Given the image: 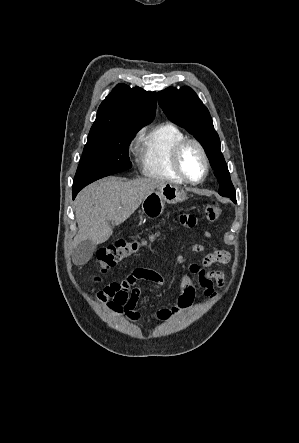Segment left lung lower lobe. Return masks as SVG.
I'll return each instance as SVG.
<instances>
[{
  "label": "left lung lower lobe",
  "mask_w": 299,
  "mask_h": 443,
  "mask_svg": "<svg viewBox=\"0 0 299 443\" xmlns=\"http://www.w3.org/2000/svg\"><path fill=\"white\" fill-rule=\"evenodd\" d=\"M233 201H234V202H236V198H235V199H233Z\"/></svg>",
  "instance_id": "left-lung-lower-lobe-1"
}]
</instances>
